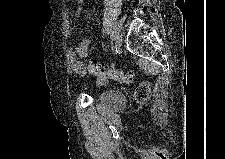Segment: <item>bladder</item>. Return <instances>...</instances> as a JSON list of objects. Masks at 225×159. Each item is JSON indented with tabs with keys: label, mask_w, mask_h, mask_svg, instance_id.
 Masks as SVG:
<instances>
[{
	"label": "bladder",
	"mask_w": 225,
	"mask_h": 159,
	"mask_svg": "<svg viewBox=\"0 0 225 159\" xmlns=\"http://www.w3.org/2000/svg\"><path fill=\"white\" fill-rule=\"evenodd\" d=\"M99 103L109 109H119L124 106L125 99L117 91L105 90L100 95Z\"/></svg>",
	"instance_id": "bladder-1"
}]
</instances>
